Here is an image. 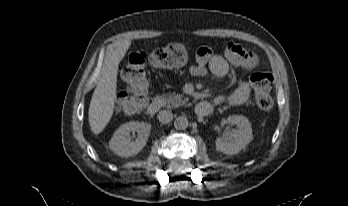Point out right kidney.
Instances as JSON below:
<instances>
[{"instance_id": "obj_1", "label": "right kidney", "mask_w": 348, "mask_h": 206, "mask_svg": "<svg viewBox=\"0 0 348 206\" xmlns=\"http://www.w3.org/2000/svg\"><path fill=\"white\" fill-rule=\"evenodd\" d=\"M150 129L151 125L144 122H127L114 132L109 147L118 156L136 155L146 145ZM131 132L138 133L135 141L130 137Z\"/></svg>"}]
</instances>
